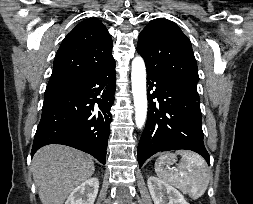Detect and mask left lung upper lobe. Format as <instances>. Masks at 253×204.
Instances as JSON below:
<instances>
[{
  "label": "left lung upper lobe",
  "mask_w": 253,
  "mask_h": 204,
  "mask_svg": "<svg viewBox=\"0 0 253 204\" xmlns=\"http://www.w3.org/2000/svg\"><path fill=\"white\" fill-rule=\"evenodd\" d=\"M137 51L147 72L197 88L199 76L191 42L172 21L165 18L151 21L139 34Z\"/></svg>",
  "instance_id": "5c2ea615"
}]
</instances>
